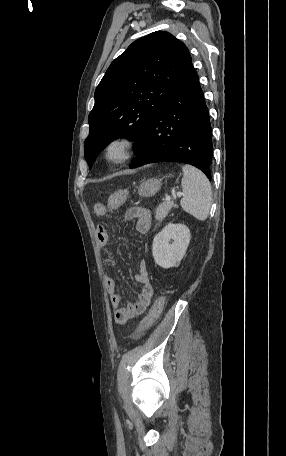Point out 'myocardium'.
<instances>
[{
  "label": "myocardium",
  "instance_id": "myocardium-1",
  "mask_svg": "<svg viewBox=\"0 0 286 456\" xmlns=\"http://www.w3.org/2000/svg\"><path fill=\"white\" fill-rule=\"evenodd\" d=\"M119 145L122 148V155L119 158L113 159L110 157L111 149ZM137 148V140L134 136L126 133L118 134L111 137L105 144L103 149V157L105 161L111 165H121L132 158Z\"/></svg>",
  "mask_w": 286,
  "mask_h": 456
}]
</instances>
